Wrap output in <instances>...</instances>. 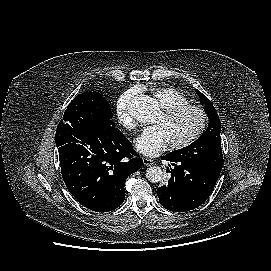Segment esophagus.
<instances>
[{
  "mask_svg": "<svg viewBox=\"0 0 271 271\" xmlns=\"http://www.w3.org/2000/svg\"><path fill=\"white\" fill-rule=\"evenodd\" d=\"M142 160H143V164L145 166H151V165L155 164L154 160H152L150 158H143Z\"/></svg>",
  "mask_w": 271,
  "mask_h": 271,
  "instance_id": "obj_1",
  "label": "esophagus"
}]
</instances>
